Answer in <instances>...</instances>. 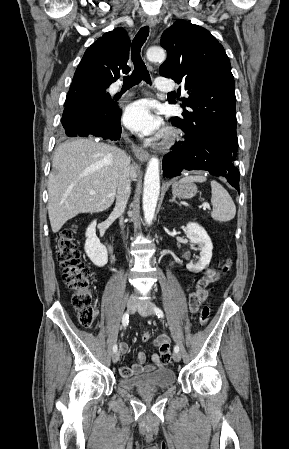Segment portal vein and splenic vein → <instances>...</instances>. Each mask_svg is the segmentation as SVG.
<instances>
[{"instance_id":"1","label":"portal vein and splenic vein","mask_w":289,"mask_h":449,"mask_svg":"<svg viewBox=\"0 0 289 449\" xmlns=\"http://www.w3.org/2000/svg\"><path fill=\"white\" fill-rule=\"evenodd\" d=\"M90 194L91 195H94L95 194V192L94 191H90ZM202 207H203V209H209L210 208V205H209V203H203L202 204Z\"/></svg>"}]
</instances>
